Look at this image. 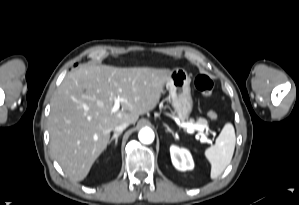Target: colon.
<instances>
[{"label":"colon","instance_id":"5ec220e1","mask_svg":"<svg viewBox=\"0 0 299 205\" xmlns=\"http://www.w3.org/2000/svg\"><path fill=\"white\" fill-rule=\"evenodd\" d=\"M194 85L204 96H209L213 92L214 83L211 78L205 74L198 75L194 80ZM208 116L213 121L217 119V114L214 111H209Z\"/></svg>","mask_w":299,"mask_h":205}]
</instances>
